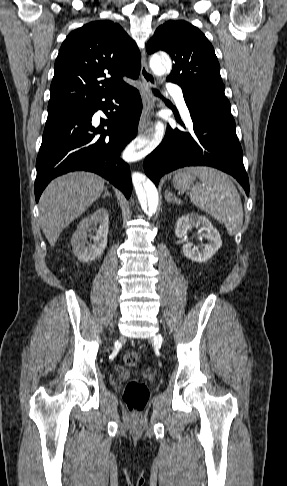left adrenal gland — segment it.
Instances as JSON below:
<instances>
[{
	"mask_svg": "<svg viewBox=\"0 0 287 486\" xmlns=\"http://www.w3.org/2000/svg\"><path fill=\"white\" fill-rule=\"evenodd\" d=\"M165 199H166L167 203H176L178 205H180L182 203V201L178 197H176V195H174L173 193H171L168 190H166V192H165Z\"/></svg>",
	"mask_w": 287,
	"mask_h": 486,
	"instance_id": "left-adrenal-gland-1",
	"label": "left adrenal gland"
}]
</instances>
